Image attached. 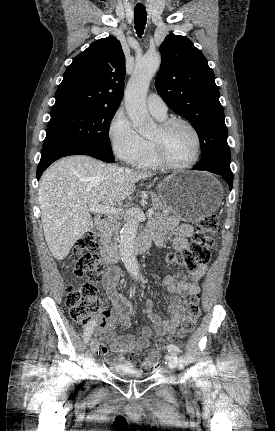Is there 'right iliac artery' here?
<instances>
[{
    "label": "right iliac artery",
    "instance_id": "obj_1",
    "mask_svg": "<svg viewBox=\"0 0 275 431\" xmlns=\"http://www.w3.org/2000/svg\"><path fill=\"white\" fill-rule=\"evenodd\" d=\"M94 325H95V323H94L93 321H91V322H89V323L85 326V329H84V332H83V338H84V341H85L86 343H87V342L90 340V338H91V335H92V332H93Z\"/></svg>",
    "mask_w": 275,
    "mask_h": 431
}]
</instances>
